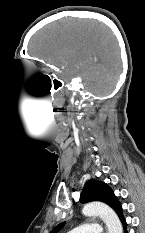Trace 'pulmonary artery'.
Returning a JSON list of instances; mask_svg holds the SVG:
<instances>
[{
  "instance_id": "e3ab8cb5",
  "label": "pulmonary artery",
  "mask_w": 145,
  "mask_h": 233,
  "mask_svg": "<svg viewBox=\"0 0 145 233\" xmlns=\"http://www.w3.org/2000/svg\"><path fill=\"white\" fill-rule=\"evenodd\" d=\"M101 231L102 229L98 224L87 223L68 231V233H101Z\"/></svg>"
}]
</instances>
